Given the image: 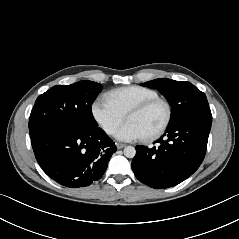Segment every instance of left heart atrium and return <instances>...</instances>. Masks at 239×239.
I'll return each mask as SVG.
<instances>
[{"label":"left heart atrium","instance_id":"1","mask_svg":"<svg viewBox=\"0 0 239 239\" xmlns=\"http://www.w3.org/2000/svg\"><path fill=\"white\" fill-rule=\"evenodd\" d=\"M116 138L122 141H135L143 139V132L132 122L127 121L115 134Z\"/></svg>","mask_w":239,"mask_h":239}]
</instances>
